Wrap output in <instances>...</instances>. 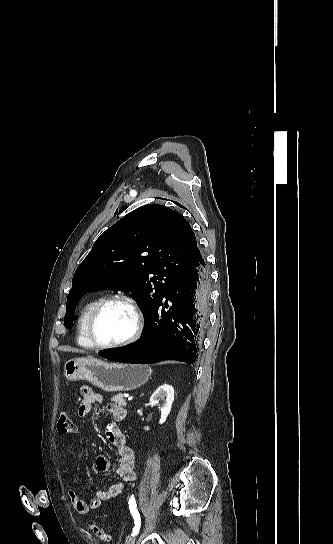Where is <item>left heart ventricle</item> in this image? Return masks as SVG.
Returning <instances> with one entry per match:
<instances>
[{
    "label": "left heart ventricle",
    "mask_w": 333,
    "mask_h": 544,
    "mask_svg": "<svg viewBox=\"0 0 333 544\" xmlns=\"http://www.w3.org/2000/svg\"><path fill=\"white\" fill-rule=\"evenodd\" d=\"M135 326L131 308L115 301L104 307L95 323V335L101 343H116L129 337Z\"/></svg>",
    "instance_id": "1"
}]
</instances>
